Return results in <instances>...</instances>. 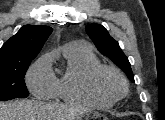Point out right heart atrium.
<instances>
[{
    "label": "right heart atrium",
    "mask_w": 165,
    "mask_h": 120,
    "mask_svg": "<svg viewBox=\"0 0 165 120\" xmlns=\"http://www.w3.org/2000/svg\"><path fill=\"white\" fill-rule=\"evenodd\" d=\"M26 82L30 91L37 97H51L55 88V76L47 55L39 58L29 69Z\"/></svg>",
    "instance_id": "right-heart-atrium-1"
}]
</instances>
